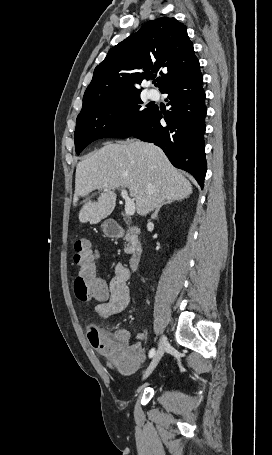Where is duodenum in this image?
<instances>
[{
	"instance_id": "obj_1",
	"label": "duodenum",
	"mask_w": 272,
	"mask_h": 455,
	"mask_svg": "<svg viewBox=\"0 0 272 455\" xmlns=\"http://www.w3.org/2000/svg\"><path fill=\"white\" fill-rule=\"evenodd\" d=\"M107 232L111 237L121 238L125 235V229L118 223H110L107 227ZM127 233L133 237H136L139 234V228L131 227L127 230ZM142 251L138 245H134L129 255V266L135 271L138 269L140 260H141Z\"/></svg>"
}]
</instances>
